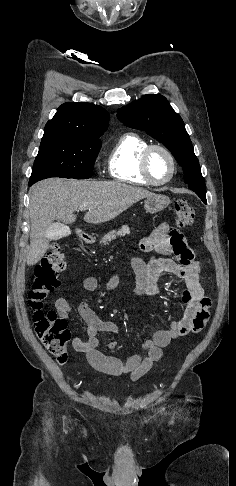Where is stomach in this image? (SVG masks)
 Wrapping results in <instances>:
<instances>
[{
	"label": "stomach",
	"instance_id": "obj_1",
	"mask_svg": "<svg viewBox=\"0 0 236 486\" xmlns=\"http://www.w3.org/2000/svg\"><path fill=\"white\" fill-rule=\"evenodd\" d=\"M170 203L169 197L161 194H153L144 201V208L147 213H157L165 209Z\"/></svg>",
	"mask_w": 236,
	"mask_h": 486
}]
</instances>
